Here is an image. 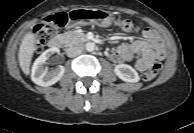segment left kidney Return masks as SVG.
Returning a JSON list of instances; mask_svg holds the SVG:
<instances>
[{"instance_id":"5707ae66","label":"left kidney","mask_w":194,"mask_h":133,"mask_svg":"<svg viewBox=\"0 0 194 133\" xmlns=\"http://www.w3.org/2000/svg\"><path fill=\"white\" fill-rule=\"evenodd\" d=\"M114 71L115 74L125 82L136 83L140 79L136 70L127 64H119L115 66Z\"/></svg>"}]
</instances>
